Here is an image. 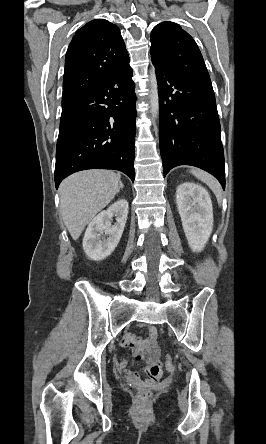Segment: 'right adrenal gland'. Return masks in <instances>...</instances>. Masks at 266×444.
I'll return each mask as SVG.
<instances>
[{
    "label": "right adrenal gland",
    "mask_w": 266,
    "mask_h": 444,
    "mask_svg": "<svg viewBox=\"0 0 266 444\" xmlns=\"http://www.w3.org/2000/svg\"><path fill=\"white\" fill-rule=\"evenodd\" d=\"M123 187H124V186H123L122 182H120V188L123 189Z\"/></svg>",
    "instance_id": "obj_1"
}]
</instances>
